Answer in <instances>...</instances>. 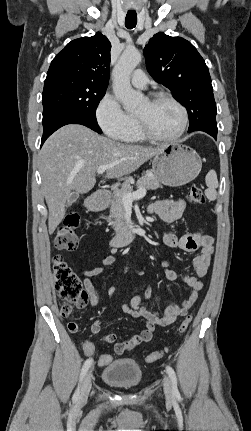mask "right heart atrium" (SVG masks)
I'll use <instances>...</instances> for the list:
<instances>
[{
	"instance_id": "1",
	"label": "right heart atrium",
	"mask_w": 251,
	"mask_h": 431,
	"mask_svg": "<svg viewBox=\"0 0 251 431\" xmlns=\"http://www.w3.org/2000/svg\"><path fill=\"white\" fill-rule=\"evenodd\" d=\"M95 116L103 132L115 139H122L132 128L133 117L127 113L117 98L107 92L99 100Z\"/></svg>"
}]
</instances>
